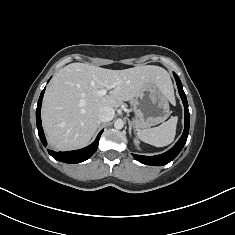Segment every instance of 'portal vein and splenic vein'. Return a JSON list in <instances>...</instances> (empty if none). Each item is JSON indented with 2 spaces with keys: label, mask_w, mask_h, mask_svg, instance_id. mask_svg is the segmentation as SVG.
I'll list each match as a JSON object with an SVG mask.
<instances>
[{
  "label": "portal vein and splenic vein",
  "mask_w": 235,
  "mask_h": 235,
  "mask_svg": "<svg viewBox=\"0 0 235 235\" xmlns=\"http://www.w3.org/2000/svg\"><path fill=\"white\" fill-rule=\"evenodd\" d=\"M113 87H114V85H109V86H107V87H105V88H103V89L97 91V94H98L99 96H104V95H106L107 92H108L109 90H111Z\"/></svg>",
  "instance_id": "obj_1"
}]
</instances>
